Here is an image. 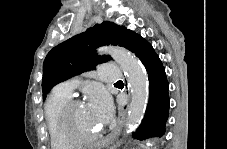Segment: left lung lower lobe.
I'll return each mask as SVG.
<instances>
[{"mask_svg":"<svg viewBox=\"0 0 227 149\" xmlns=\"http://www.w3.org/2000/svg\"><path fill=\"white\" fill-rule=\"evenodd\" d=\"M127 49L141 60L149 79V101L146 113L139 129L133 133V137L139 140L160 137L165 132L169 115V85L165 69L152 45L140 35L131 33Z\"/></svg>","mask_w":227,"mask_h":149,"instance_id":"left-lung-lower-lobe-1","label":"left lung lower lobe"}]
</instances>
